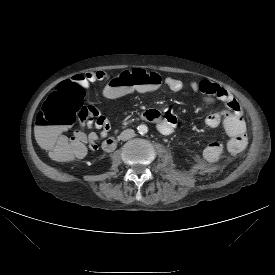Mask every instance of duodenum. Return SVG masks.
Listing matches in <instances>:
<instances>
[{"label": "duodenum", "mask_w": 275, "mask_h": 275, "mask_svg": "<svg viewBox=\"0 0 275 275\" xmlns=\"http://www.w3.org/2000/svg\"><path fill=\"white\" fill-rule=\"evenodd\" d=\"M148 111H145L142 113V119H144L146 121H149V118L147 116ZM117 143H118L117 138L115 136H111V137L106 138L103 141L102 147L105 151H112L116 148Z\"/></svg>", "instance_id": "1"}]
</instances>
